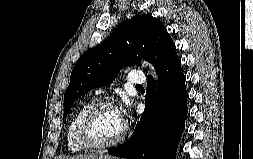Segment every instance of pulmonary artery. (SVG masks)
I'll use <instances>...</instances> for the list:
<instances>
[{
	"label": "pulmonary artery",
	"instance_id": "pulmonary-artery-1",
	"mask_svg": "<svg viewBox=\"0 0 253 159\" xmlns=\"http://www.w3.org/2000/svg\"><path fill=\"white\" fill-rule=\"evenodd\" d=\"M145 82H146V76H145L143 71H132V72H130V74L128 76V83L130 85L139 86V85L144 84ZM96 94L101 95L102 91L97 90Z\"/></svg>",
	"mask_w": 253,
	"mask_h": 159
}]
</instances>
